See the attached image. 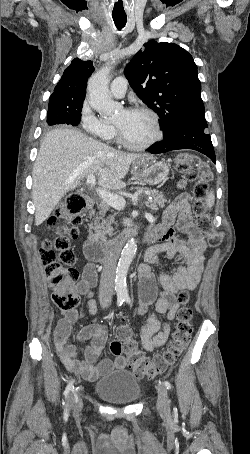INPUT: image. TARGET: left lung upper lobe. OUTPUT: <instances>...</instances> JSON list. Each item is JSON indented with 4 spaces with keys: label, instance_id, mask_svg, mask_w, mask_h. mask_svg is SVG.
<instances>
[{
    "label": "left lung upper lobe",
    "instance_id": "obj_1",
    "mask_svg": "<svg viewBox=\"0 0 250 454\" xmlns=\"http://www.w3.org/2000/svg\"><path fill=\"white\" fill-rule=\"evenodd\" d=\"M125 76L138 97L160 117L164 136L183 121L204 117L197 66L180 46L147 42L126 66Z\"/></svg>",
    "mask_w": 250,
    "mask_h": 454
}]
</instances>
